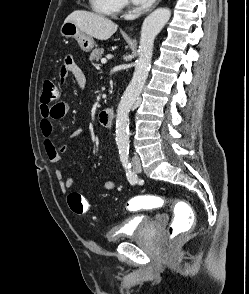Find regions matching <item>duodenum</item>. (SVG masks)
Wrapping results in <instances>:
<instances>
[{
	"label": "duodenum",
	"mask_w": 249,
	"mask_h": 294,
	"mask_svg": "<svg viewBox=\"0 0 249 294\" xmlns=\"http://www.w3.org/2000/svg\"><path fill=\"white\" fill-rule=\"evenodd\" d=\"M113 117V110L111 108H105L100 111L98 120L101 126L110 128L112 126Z\"/></svg>",
	"instance_id": "1"
}]
</instances>
